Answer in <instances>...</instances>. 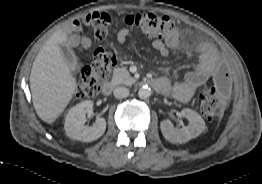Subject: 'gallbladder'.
I'll return each mask as SVG.
<instances>
[{
  "instance_id": "obj_1",
  "label": "gallbladder",
  "mask_w": 262,
  "mask_h": 184,
  "mask_svg": "<svg viewBox=\"0 0 262 184\" xmlns=\"http://www.w3.org/2000/svg\"><path fill=\"white\" fill-rule=\"evenodd\" d=\"M62 53H63L65 62L68 65V67L72 70H76V68H77V57L73 53V51L68 46H64V47H62Z\"/></svg>"
}]
</instances>
